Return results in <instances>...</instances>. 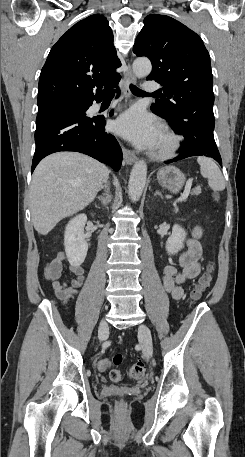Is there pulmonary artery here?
<instances>
[{"mask_svg":"<svg viewBox=\"0 0 245 457\" xmlns=\"http://www.w3.org/2000/svg\"><path fill=\"white\" fill-rule=\"evenodd\" d=\"M142 93L143 95H154L155 90H161L162 83L157 80H144L143 81ZM99 105L94 106V111L96 112L99 109Z\"/></svg>","mask_w":245,"mask_h":457,"instance_id":"1","label":"pulmonary artery"}]
</instances>
